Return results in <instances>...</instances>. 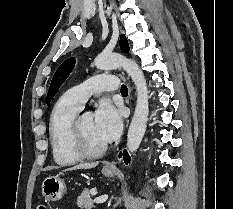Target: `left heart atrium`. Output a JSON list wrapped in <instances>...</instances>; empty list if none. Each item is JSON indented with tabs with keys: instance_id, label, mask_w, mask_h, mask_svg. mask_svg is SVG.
I'll use <instances>...</instances> for the list:
<instances>
[{
	"instance_id": "1",
	"label": "left heart atrium",
	"mask_w": 233,
	"mask_h": 209,
	"mask_svg": "<svg viewBox=\"0 0 233 209\" xmlns=\"http://www.w3.org/2000/svg\"><path fill=\"white\" fill-rule=\"evenodd\" d=\"M122 128L119 111L109 102H101L94 116V129L97 137L104 143L115 140Z\"/></svg>"
}]
</instances>
